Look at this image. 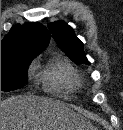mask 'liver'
<instances>
[{
    "instance_id": "obj_1",
    "label": "liver",
    "mask_w": 123,
    "mask_h": 130,
    "mask_svg": "<svg viewBox=\"0 0 123 130\" xmlns=\"http://www.w3.org/2000/svg\"><path fill=\"white\" fill-rule=\"evenodd\" d=\"M67 105L39 96H12L1 101V130H93Z\"/></svg>"
}]
</instances>
